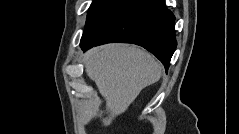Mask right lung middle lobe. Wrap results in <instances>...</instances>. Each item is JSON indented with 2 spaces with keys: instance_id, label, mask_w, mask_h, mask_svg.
<instances>
[{
  "instance_id": "dd1d6c3e",
  "label": "right lung middle lobe",
  "mask_w": 239,
  "mask_h": 134,
  "mask_svg": "<svg viewBox=\"0 0 239 134\" xmlns=\"http://www.w3.org/2000/svg\"><path fill=\"white\" fill-rule=\"evenodd\" d=\"M126 0H93L86 21L82 38H86L92 31L114 10Z\"/></svg>"
}]
</instances>
